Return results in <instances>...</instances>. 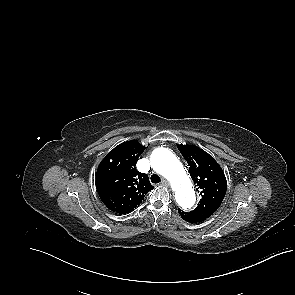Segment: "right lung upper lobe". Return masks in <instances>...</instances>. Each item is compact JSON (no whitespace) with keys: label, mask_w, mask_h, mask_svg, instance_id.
Returning <instances> with one entry per match:
<instances>
[{"label":"right lung upper lobe","mask_w":295,"mask_h":295,"mask_svg":"<svg viewBox=\"0 0 295 295\" xmlns=\"http://www.w3.org/2000/svg\"><path fill=\"white\" fill-rule=\"evenodd\" d=\"M144 149L136 140L124 142L110 151L98 167V194L103 203L118 214L134 210L154 188L148 175L136 170Z\"/></svg>","instance_id":"1"}]
</instances>
